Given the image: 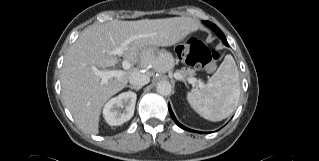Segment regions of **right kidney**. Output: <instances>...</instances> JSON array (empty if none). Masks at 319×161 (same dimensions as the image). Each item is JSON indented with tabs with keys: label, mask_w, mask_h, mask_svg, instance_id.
Segmentation results:
<instances>
[{
	"label": "right kidney",
	"mask_w": 319,
	"mask_h": 161,
	"mask_svg": "<svg viewBox=\"0 0 319 161\" xmlns=\"http://www.w3.org/2000/svg\"><path fill=\"white\" fill-rule=\"evenodd\" d=\"M136 99L137 95L131 91L123 92L110 99L103 108L106 122L116 126L130 120L134 114Z\"/></svg>",
	"instance_id": "1"
}]
</instances>
